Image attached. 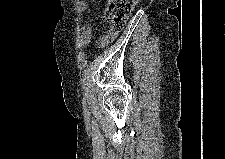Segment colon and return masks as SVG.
I'll return each instance as SVG.
<instances>
[{"instance_id":"obj_1","label":"colon","mask_w":225,"mask_h":159,"mask_svg":"<svg viewBox=\"0 0 225 159\" xmlns=\"http://www.w3.org/2000/svg\"><path fill=\"white\" fill-rule=\"evenodd\" d=\"M136 2L137 0H109L105 18L110 32L116 34L121 31Z\"/></svg>"}]
</instances>
